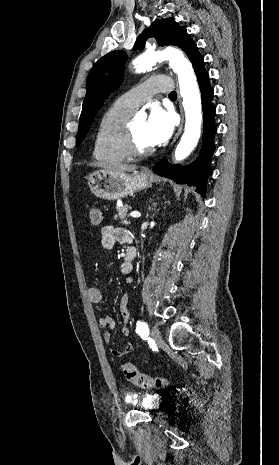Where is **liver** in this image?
Wrapping results in <instances>:
<instances>
[{
  "label": "liver",
  "instance_id": "obj_1",
  "mask_svg": "<svg viewBox=\"0 0 279 465\" xmlns=\"http://www.w3.org/2000/svg\"><path fill=\"white\" fill-rule=\"evenodd\" d=\"M92 165L97 166L98 164H92ZM136 168H137L136 165L116 163V164L107 166L105 171L116 172V173L131 172V171H134Z\"/></svg>",
  "mask_w": 279,
  "mask_h": 465
}]
</instances>
